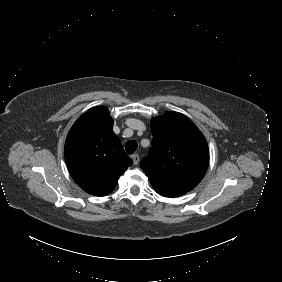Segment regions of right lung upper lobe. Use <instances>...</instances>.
<instances>
[{
    "instance_id": "cb5924a9",
    "label": "right lung upper lobe",
    "mask_w": 282,
    "mask_h": 282,
    "mask_svg": "<svg viewBox=\"0 0 282 282\" xmlns=\"http://www.w3.org/2000/svg\"><path fill=\"white\" fill-rule=\"evenodd\" d=\"M113 119L104 106L81 115L70 129L64 148L68 170L87 193L106 196L132 164L113 132Z\"/></svg>"
}]
</instances>
